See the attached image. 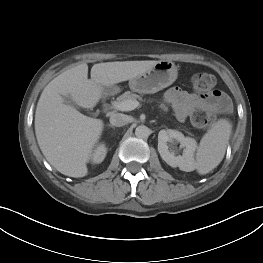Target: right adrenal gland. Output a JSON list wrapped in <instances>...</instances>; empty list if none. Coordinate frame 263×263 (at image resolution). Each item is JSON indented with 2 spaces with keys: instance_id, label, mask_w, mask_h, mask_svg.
Listing matches in <instances>:
<instances>
[{
  "instance_id": "right-adrenal-gland-1",
  "label": "right adrenal gland",
  "mask_w": 263,
  "mask_h": 263,
  "mask_svg": "<svg viewBox=\"0 0 263 263\" xmlns=\"http://www.w3.org/2000/svg\"><path fill=\"white\" fill-rule=\"evenodd\" d=\"M108 126L111 127V128H114V127H113L112 125H110V124H109Z\"/></svg>"
}]
</instances>
